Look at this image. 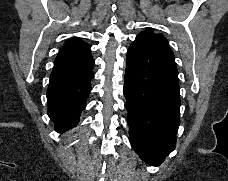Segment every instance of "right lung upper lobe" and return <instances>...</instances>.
Segmentation results:
<instances>
[{
  "instance_id": "1",
  "label": "right lung upper lobe",
  "mask_w": 228,
  "mask_h": 181,
  "mask_svg": "<svg viewBox=\"0 0 228 181\" xmlns=\"http://www.w3.org/2000/svg\"><path fill=\"white\" fill-rule=\"evenodd\" d=\"M89 45L87 43H85L84 41L80 40L79 38H73L69 41H67L61 51L58 53V57H62L68 54H71L77 50H80L82 48L88 47Z\"/></svg>"
}]
</instances>
